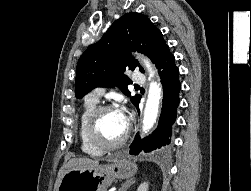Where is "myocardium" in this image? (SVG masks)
Returning <instances> with one entry per match:
<instances>
[{"instance_id":"myocardium-1","label":"myocardium","mask_w":251,"mask_h":191,"mask_svg":"<svg viewBox=\"0 0 251 191\" xmlns=\"http://www.w3.org/2000/svg\"><path fill=\"white\" fill-rule=\"evenodd\" d=\"M107 111H114V108L111 105H99L97 106L92 114L90 115L87 124H86V138L87 141L95 148L100 149L102 151H111L118 149L129 138L130 134V124L126 121L125 131L122 137L114 142V143H107L103 141L99 135V125L103 114Z\"/></svg>"}]
</instances>
